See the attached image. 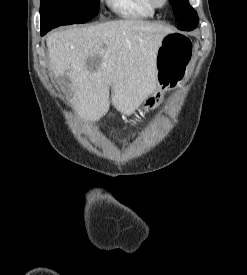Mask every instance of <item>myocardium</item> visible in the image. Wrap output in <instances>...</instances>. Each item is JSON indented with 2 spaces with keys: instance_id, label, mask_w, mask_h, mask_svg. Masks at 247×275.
<instances>
[{
  "instance_id": "f54148a6",
  "label": "myocardium",
  "mask_w": 247,
  "mask_h": 275,
  "mask_svg": "<svg viewBox=\"0 0 247 275\" xmlns=\"http://www.w3.org/2000/svg\"><path fill=\"white\" fill-rule=\"evenodd\" d=\"M155 9L164 8L168 4V0H150Z\"/></svg>"
}]
</instances>
